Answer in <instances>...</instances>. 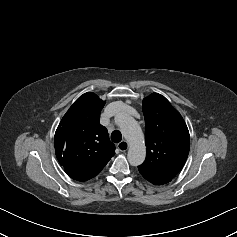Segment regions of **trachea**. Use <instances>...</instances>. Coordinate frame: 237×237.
<instances>
[{
	"mask_svg": "<svg viewBox=\"0 0 237 237\" xmlns=\"http://www.w3.org/2000/svg\"><path fill=\"white\" fill-rule=\"evenodd\" d=\"M111 140L115 143H119L122 140V135H121L120 131L114 130L111 133Z\"/></svg>",
	"mask_w": 237,
	"mask_h": 237,
	"instance_id": "3493384b",
	"label": "trachea"
}]
</instances>
